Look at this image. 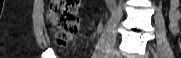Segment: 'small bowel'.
Returning a JSON list of instances; mask_svg holds the SVG:
<instances>
[{
    "label": "small bowel",
    "mask_w": 181,
    "mask_h": 58,
    "mask_svg": "<svg viewBox=\"0 0 181 58\" xmlns=\"http://www.w3.org/2000/svg\"><path fill=\"white\" fill-rule=\"evenodd\" d=\"M169 21L170 30L173 35H178L180 32L179 23L181 21V5L178 0H171L169 4Z\"/></svg>",
    "instance_id": "small-bowel-1"
}]
</instances>
